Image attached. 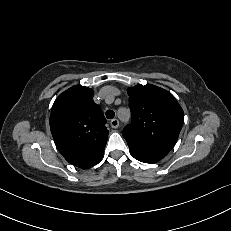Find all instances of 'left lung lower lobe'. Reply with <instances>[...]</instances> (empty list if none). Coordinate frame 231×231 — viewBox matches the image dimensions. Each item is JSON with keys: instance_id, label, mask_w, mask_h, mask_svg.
<instances>
[{"instance_id": "obj_1", "label": "left lung lower lobe", "mask_w": 231, "mask_h": 231, "mask_svg": "<svg viewBox=\"0 0 231 231\" xmlns=\"http://www.w3.org/2000/svg\"><path fill=\"white\" fill-rule=\"evenodd\" d=\"M130 153L135 159H137V160H139L141 162H144V163H155V162H158L160 160V159H157V158H152V157H148V156H145V155H141V154H139V153H137L135 151H132V150H130Z\"/></svg>"}]
</instances>
